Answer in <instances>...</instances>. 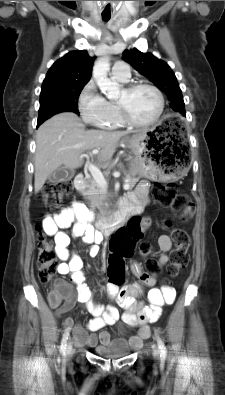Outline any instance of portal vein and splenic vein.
<instances>
[{"instance_id": "portal-vein-and-splenic-vein-1", "label": "portal vein and splenic vein", "mask_w": 225, "mask_h": 395, "mask_svg": "<svg viewBox=\"0 0 225 395\" xmlns=\"http://www.w3.org/2000/svg\"><path fill=\"white\" fill-rule=\"evenodd\" d=\"M99 152V149H94L92 150V152L90 154H97ZM83 156H87L86 154H84ZM88 170L91 173L93 179L96 181V183L103 189L105 190L107 188V182L102 174V172L93 164H89L88 165ZM123 188L125 190H128L130 188V185L128 184V182H125V184L123 185Z\"/></svg>"}]
</instances>
